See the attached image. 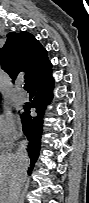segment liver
Returning <instances> with one entry per match:
<instances>
[{
	"label": "liver",
	"instance_id": "liver-1",
	"mask_svg": "<svg viewBox=\"0 0 89 203\" xmlns=\"http://www.w3.org/2000/svg\"><path fill=\"white\" fill-rule=\"evenodd\" d=\"M20 166L16 154L10 153L0 156V193L2 199L6 198L5 203H13L14 194L21 179Z\"/></svg>",
	"mask_w": 89,
	"mask_h": 203
}]
</instances>
